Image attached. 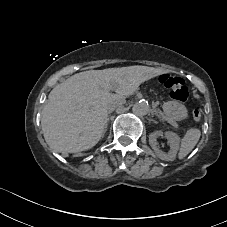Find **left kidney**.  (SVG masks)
<instances>
[{
	"instance_id": "left-kidney-1",
	"label": "left kidney",
	"mask_w": 227,
	"mask_h": 227,
	"mask_svg": "<svg viewBox=\"0 0 227 227\" xmlns=\"http://www.w3.org/2000/svg\"><path fill=\"white\" fill-rule=\"evenodd\" d=\"M161 135L162 131H155L151 133L149 135V144L155 151L157 157H159L161 160L173 161L176 158V154L179 149L180 137L174 132H165V137L167 138L168 144L170 145V150L168 153H165L157 147V138Z\"/></svg>"
}]
</instances>
